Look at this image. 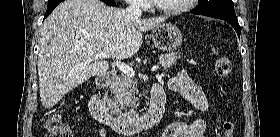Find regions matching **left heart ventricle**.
Masks as SVG:
<instances>
[{
  "label": "left heart ventricle",
  "instance_id": "left-heart-ventricle-1",
  "mask_svg": "<svg viewBox=\"0 0 280 137\" xmlns=\"http://www.w3.org/2000/svg\"><path fill=\"white\" fill-rule=\"evenodd\" d=\"M156 2L162 7H177L182 5L183 0H156Z\"/></svg>",
  "mask_w": 280,
  "mask_h": 137
}]
</instances>
